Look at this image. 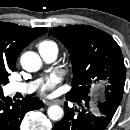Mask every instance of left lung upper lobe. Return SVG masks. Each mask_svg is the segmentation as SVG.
I'll return each instance as SVG.
<instances>
[{"mask_svg":"<svg viewBox=\"0 0 130 130\" xmlns=\"http://www.w3.org/2000/svg\"><path fill=\"white\" fill-rule=\"evenodd\" d=\"M50 32L65 45L71 57L73 81L66 98H88L94 83L107 81L105 98L119 105L126 74L121 49L112 36L88 25L55 27Z\"/></svg>","mask_w":130,"mask_h":130,"instance_id":"5c2ea615","label":"left lung upper lobe"}]
</instances>
